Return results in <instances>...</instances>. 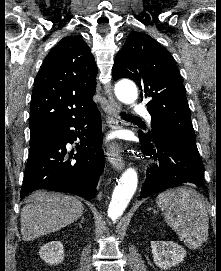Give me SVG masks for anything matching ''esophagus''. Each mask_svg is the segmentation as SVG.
<instances>
[{"mask_svg": "<svg viewBox=\"0 0 221 271\" xmlns=\"http://www.w3.org/2000/svg\"><path fill=\"white\" fill-rule=\"evenodd\" d=\"M107 90L108 96V109H107V123L110 130H118L122 127L123 122L118 114L120 111L119 104L114 100V97L111 93L110 85L105 86ZM106 156L108 158L109 163L116 170H123L125 163L123 159V148L121 143L117 141L110 142L106 147Z\"/></svg>", "mask_w": 221, "mask_h": 271, "instance_id": "esophagus-1", "label": "esophagus"}]
</instances>
